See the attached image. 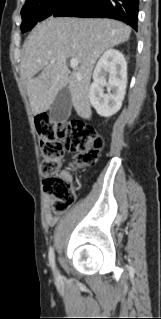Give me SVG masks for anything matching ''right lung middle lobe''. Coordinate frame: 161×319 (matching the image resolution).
Here are the masks:
<instances>
[{"instance_id": "dd1d6c3e", "label": "right lung middle lobe", "mask_w": 161, "mask_h": 319, "mask_svg": "<svg viewBox=\"0 0 161 319\" xmlns=\"http://www.w3.org/2000/svg\"><path fill=\"white\" fill-rule=\"evenodd\" d=\"M85 0H26L21 10V31H30L38 21L53 15L65 16Z\"/></svg>"}]
</instances>
